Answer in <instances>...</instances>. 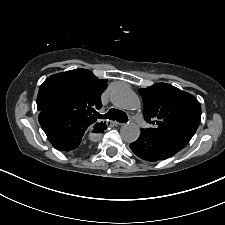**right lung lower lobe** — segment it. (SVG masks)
I'll list each match as a JSON object with an SVG mask.
<instances>
[{"label":"right lung lower lobe","instance_id":"right-lung-lower-lobe-1","mask_svg":"<svg viewBox=\"0 0 225 225\" xmlns=\"http://www.w3.org/2000/svg\"><path fill=\"white\" fill-rule=\"evenodd\" d=\"M38 120L54 148L69 153H83L86 150L84 135L104 130L82 119L49 111L40 112Z\"/></svg>","mask_w":225,"mask_h":225}]
</instances>
